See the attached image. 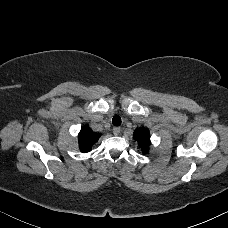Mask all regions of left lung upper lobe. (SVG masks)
Segmentation results:
<instances>
[{"mask_svg": "<svg viewBox=\"0 0 228 228\" xmlns=\"http://www.w3.org/2000/svg\"><path fill=\"white\" fill-rule=\"evenodd\" d=\"M134 139L138 142L142 152L144 154L148 153L151 144L149 130L147 128H137L134 131Z\"/></svg>", "mask_w": 228, "mask_h": 228, "instance_id": "obj_1", "label": "left lung upper lobe"}]
</instances>
